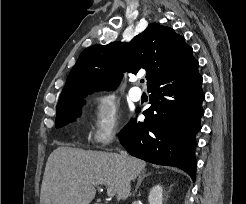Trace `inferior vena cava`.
<instances>
[{
	"label": "inferior vena cava",
	"mask_w": 246,
	"mask_h": 204,
	"mask_svg": "<svg viewBox=\"0 0 246 204\" xmlns=\"http://www.w3.org/2000/svg\"><path fill=\"white\" fill-rule=\"evenodd\" d=\"M126 153L125 152H123V151H120V156H121V158H125L126 157Z\"/></svg>",
	"instance_id": "1"
}]
</instances>
